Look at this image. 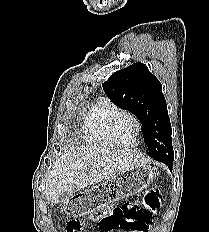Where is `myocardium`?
I'll use <instances>...</instances> for the list:
<instances>
[{
  "instance_id": "1",
  "label": "myocardium",
  "mask_w": 209,
  "mask_h": 232,
  "mask_svg": "<svg viewBox=\"0 0 209 232\" xmlns=\"http://www.w3.org/2000/svg\"><path fill=\"white\" fill-rule=\"evenodd\" d=\"M123 116H126V117H129L133 122H134V125H135V129H134V134H133V137L132 139H136L139 131H140V127H141V124H140V121L138 120V118L130 111H127V110H119L118 112H116L109 120L108 122V126H107V133H108V137L110 139V141L118 146V147H132L130 143L128 144H123L121 142H119L115 135H114V132H113V126L115 124V122L120 118V117H123Z\"/></svg>"
}]
</instances>
